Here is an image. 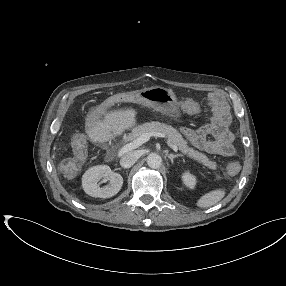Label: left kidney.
<instances>
[{
    "instance_id": "obj_1",
    "label": "left kidney",
    "mask_w": 286,
    "mask_h": 286,
    "mask_svg": "<svg viewBox=\"0 0 286 286\" xmlns=\"http://www.w3.org/2000/svg\"><path fill=\"white\" fill-rule=\"evenodd\" d=\"M183 183L189 187L190 189H193L196 185V178L189 172H185L182 176Z\"/></svg>"
}]
</instances>
